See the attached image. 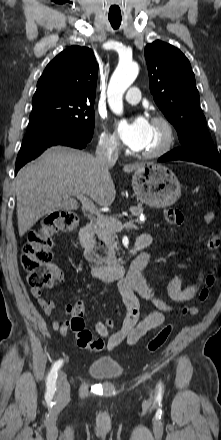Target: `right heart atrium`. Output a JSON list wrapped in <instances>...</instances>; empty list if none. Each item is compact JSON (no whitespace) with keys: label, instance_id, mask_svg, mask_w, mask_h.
<instances>
[{"label":"right heart atrium","instance_id":"d8ad5b80","mask_svg":"<svg viewBox=\"0 0 221 440\" xmlns=\"http://www.w3.org/2000/svg\"><path fill=\"white\" fill-rule=\"evenodd\" d=\"M99 145L108 153H115L120 149L118 136L107 128L103 120L100 121Z\"/></svg>","mask_w":221,"mask_h":440}]
</instances>
